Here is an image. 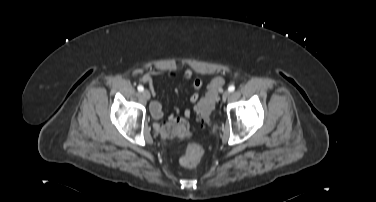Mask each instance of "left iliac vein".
<instances>
[{
  "mask_svg": "<svg viewBox=\"0 0 376 202\" xmlns=\"http://www.w3.org/2000/svg\"><path fill=\"white\" fill-rule=\"evenodd\" d=\"M229 96H230V92L226 90V91L222 94V100H223V101H226V100L228 99Z\"/></svg>",
  "mask_w": 376,
  "mask_h": 202,
  "instance_id": "obj_1",
  "label": "left iliac vein"
}]
</instances>
